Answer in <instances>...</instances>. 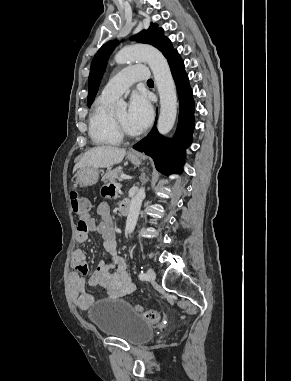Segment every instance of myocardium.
<instances>
[{
    "instance_id": "f54148a6",
    "label": "myocardium",
    "mask_w": 291,
    "mask_h": 381,
    "mask_svg": "<svg viewBox=\"0 0 291 381\" xmlns=\"http://www.w3.org/2000/svg\"><path fill=\"white\" fill-rule=\"evenodd\" d=\"M112 124L115 132L123 139H133L138 137V133L132 134L125 130V128L120 124L115 115H112Z\"/></svg>"
}]
</instances>
